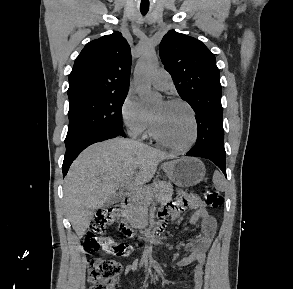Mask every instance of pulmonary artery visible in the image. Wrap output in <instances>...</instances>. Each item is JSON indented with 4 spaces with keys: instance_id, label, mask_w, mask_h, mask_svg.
<instances>
[{
    "instance_id": "pulmonary-artery-1",
    "label": "pulmonary artery",
    "mask_w": 293,
    "mask_h": 289,
    "mask_svg": "<svg viewBox=\"0 0 293 289\" xmlns=\"http://www.w3.org/2000/svg\"><path fill=\"white\" fill-rule=\"evenodd\" d=\"M152 84L154 87L160 90H169L173 86L172 78L170 74L163 69L158 70L153 78Z\"/></svg>"
}]
</instances>
